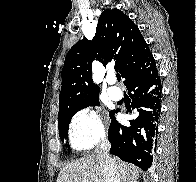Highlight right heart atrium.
Listing matches in <instances>:
<instances>
[{
  "mask_svg": "<svg viewBox=\"0 0 196 182\" xmlns=\"http://www.w3.org/2000/svg\"><path fill=\"white\" fill-rule=\"evenodd\" d=\"M104 137L105 128L95 108H83L73 116L69 125V139L74 149H89Z\"/></svg>",
  "mask_w": 196,
  "mask_h": 182,
  "instance_id": "d8ad5b80",
  "label": "right heart atrium"
}]
</instances>
